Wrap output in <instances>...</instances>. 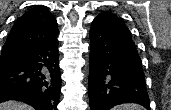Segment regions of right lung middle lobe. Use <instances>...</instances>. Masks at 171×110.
<instances>
[{
	"mask_svg": "<svg viewBox=\"0 0 171 110\" xmlns=\"http://www.w3.org/2000/svg\"><path fill=\"white\" fill-rule=\"evenodd\" d=\"M23 60V54H13L0 57V70L12 67Z\"/></svg>",
	"mask_w": 171,
	"mask_h": 110,
	"instance_id": "dd1d6c3e",
	"label": "right lung middle lobe"
}]
</instances>
